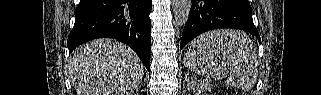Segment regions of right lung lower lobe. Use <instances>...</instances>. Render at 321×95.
Returning a JSON list of instances; mask_svg holds the SVG:
<instances>
[{
    "label": "right lung lower lobe",
    "mask_w": 321,
    "mask_h": 95,
    "mask_svg": "<svg viewBox=\"0 0 321 95\" xmlns=\"http://www.w3.org/2000/svg\"><path fill=\"white\" fill-rule=\"evenodd\" d=\"M151 0H80L68 36L69 54L96 38H114L129 45L150 70Z\"/></svg>",
    "instance_id": "98d812e1"
}]
</instances>
